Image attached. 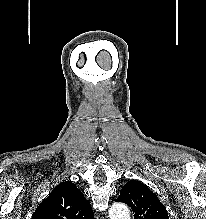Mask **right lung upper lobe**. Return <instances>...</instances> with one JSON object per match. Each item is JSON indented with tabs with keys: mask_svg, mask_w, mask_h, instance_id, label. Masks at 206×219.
<instances>
[{
	"mask_svg": "<svg viewBox=\"0 0 206 219\" xmlns=\"http://www.w3.org/2000/svg\"><path fill=\"white\" fill-rule=\"evenodd\" d=\"M31 219H94L83 193L71 181L57 185L37 207Z\"/></svg>",
	"mask_w": 206,
	"mask_h": 219,
	"instance_id": "obj_1",
	"label": "right lung upper lobe"
}]
</instances>
